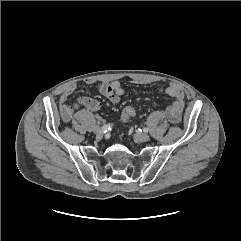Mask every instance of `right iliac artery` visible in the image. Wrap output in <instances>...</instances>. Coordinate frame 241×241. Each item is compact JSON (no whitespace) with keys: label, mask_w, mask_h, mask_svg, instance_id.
Wrapping results in <instances>:
<instances>
[{"label":"right iliac artery","mask_w":241,"mask_h":241,"mask_svg":"<svg viewBox=\"0 0 241 241\" xmlns=\"http://www.w3.org/2000/svg\"><path fill=\"white\" fill-rule=\"evenodd\" d=\"M111 127H112L111 124H106V125L102 126V130L105 133V132L109 131L111 129Z\"/></svg>","instance_id":"right-iliac-artery-1"}]
</instances>
